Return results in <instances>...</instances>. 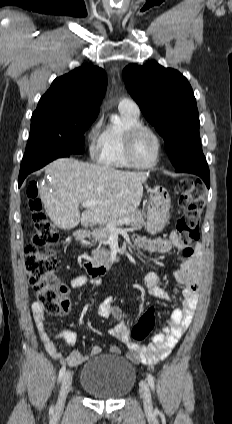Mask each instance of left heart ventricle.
<instances>
[{
    "instance_id": "left-heart-ventricle-1",
    "label": "left heart ventricle",
    "mask_w": 232,
    "mask_h": 424,
    "mask_svg": "<svg viewBox=\"0 0 232 424\" xmlns=\"http://www.w3.org/2000/svg\"><path fill=\"white\" fill-rule=\"evenodd\" d=\"M157 153V142L149 132H142L135 140L133 155L137 163L149 164L154 161Z\"/></svg>"
}]
</instances>
